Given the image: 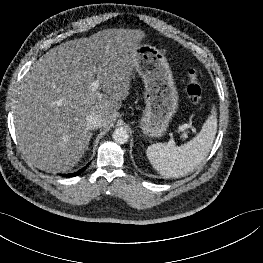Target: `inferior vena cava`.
Masks as SVG:
<instances>
[{
    "label": "inferior vena cava",
    "mask_w": 263,
    "mask_h": 263,
    "mask_svg": "<svg viewBox=\"0 0 263 263\" xmlns=\"http://www.w3.org/2000/svg\"><path fill=\"white\" fill-rule=\"evenodd\" d=\"M103 117L99 113H91L87 116V127L90 130L97 129L102 126Z\"/></svg>",
    "instance_id": "obj_1"
}]
</instances>
